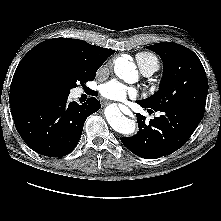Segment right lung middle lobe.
Segmentation results:
<instances>
[{
	"mask_svg": "<svg viewBox=\"0 0 221 221\" xmlns=\"http://www.w3.org/2000/svg\"><path fill=\"white\" fill-rule=\"evenodd\" d=\"M96 71H88L69 61L47 64L34 70L33 78L42 91L51 97H67L77 83L94 80Z\"/></svg>",
	"mask_w": 221,
	"mask_h": 221,
	"instance_id": "dd1d6c3e",
	"label": "right lung middle lobe"
}]
</instances>
